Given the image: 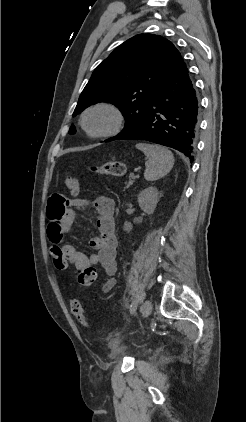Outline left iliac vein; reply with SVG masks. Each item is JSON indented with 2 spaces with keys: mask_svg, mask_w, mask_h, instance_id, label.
<instances>
[{
  "mask_svg": "<svg viewBox=\"0 0 246 422\" xmlns=\"http://www.w3.org/2000/svg\"><path fill=\"white\" fill-rule=\"evenodd\" d=\"M151 310H152V302L150 300L144 301L140 310L141 317L142 318L147 317L150 314Z\"/></svg>",
  "mask_w": 246,
  "mask_h": 422,
  "instance_id": "1",
  "label": "left iliac vein"
}]
</instances>
